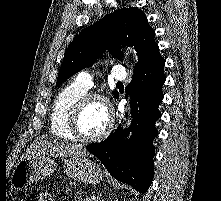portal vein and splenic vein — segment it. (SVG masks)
Wrapping results in <instances>:
<instances>
[{"mask_svg": "<svg viewBox=\"0 0 221 201\" xmlns=\"http://www.w3.org/2000/svg\"><path fill=\"white\" fill-rule=\"evenodd\" d=\"M85 201H91V199H90V198H88V197H86V198H85Z\"/></svg>", "mask_w": 221, "mask_h": 201, "instance_id": "18ae733b", "label": "portal vein and splenic vein"}]
</instances>
